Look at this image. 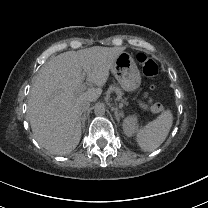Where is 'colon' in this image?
<instances>
[{"mask_svg":"<svg viewBox=\"0 0 208 208\" xmlns=\"http://www.w3.org/2000/svg\"><path fill=\"white\" fill-rule=\"evenodd\" d=\"M137 61L146 77L153 79L157 76L158 67L151 57L147 54L139 53L137 55ZM151 110L153 112H162L164 107L162 104H153L151 105Z\"/></svg>","mask_w":208,"mask_h":208,"instance_id":"colon-1","label":"colon"}]
</instances>
